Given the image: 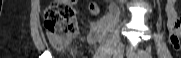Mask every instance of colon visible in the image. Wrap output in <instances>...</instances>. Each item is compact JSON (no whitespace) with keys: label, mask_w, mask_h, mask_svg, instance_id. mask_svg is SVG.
Returning a JSON list of instances; mask_svg holds the SVG:
<instances>
[{"label":"colon","mask_w":181,"mask_h":58,"mask_svg":"<svg viewBox=\"0 0 181 58\" xmlns=\"http://www.w3.org/2000/svg\"><path fill=\"white\" fill-rule=\"evenodd\" d=\"M76 0H54L44 13V28L52 46L65 52L79 32Z\"/></svg>","instance_id":"1"}]
</instances>
